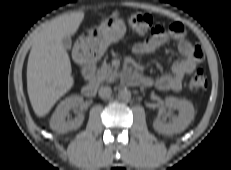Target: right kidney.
<instances>
[{
    "mask_svg": "<svg viewBox=\"0 0 231 170\" xmlns=\"http://www.w3.org/2000/svg\"><path fill=\"white\" fill-rule=\"evenodd\" d=\"M83 98L77 95L63 100L56 108L50 120V128L58 133H66L81 126L84 116L79 113L73 120H66L72 108H82Z\"/></svg>",
    "mask_w": 231,
    "mask_h": 170,
    "instance_id": "1",
    "label": "right kidney"
}]
</instances>
